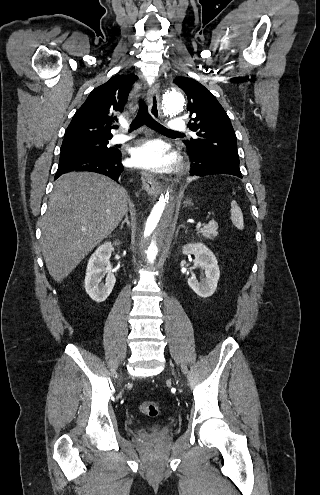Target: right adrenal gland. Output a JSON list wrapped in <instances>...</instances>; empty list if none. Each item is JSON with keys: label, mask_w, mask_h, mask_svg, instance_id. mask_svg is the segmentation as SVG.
Listing matches in <instances>:
<instances>
[{"label": "right adrenal gland", "mask_w": 320, "mask_h": 495, "mask_svg": "<svg viewBox=\"0 0 320 495\" xmlns=\"http://www.w3.org/2000/svg\"><path fill=\"white\" fill-rule=\"evenodd\" d=\"M125 223L128 225V227H130V222H129L128 214L127 213L125 215V219L122 221V223L120 225V229H123Z\"/></svg>", "instance_id": "2a0ac1e0"}]
</instances>
